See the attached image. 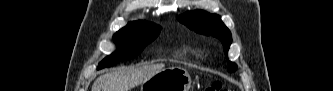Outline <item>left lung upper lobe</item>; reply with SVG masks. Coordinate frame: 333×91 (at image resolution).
Wrapping results in <instances>:
<instances>
[{
    "mask_svg": "<svg viewBox=\"0 0 333 91\" xmlns=\"http://www.w3.org/2000/svg\"><path fill=\"white\" fill-rule=\"evenodd\" d=\"M177 19L197 33L218 38L223 44L224 52L227 54L232 37L229 29L221 21L220 16L198 10L177 16ZM228 64L230 65L228 70L230 72L234 71L236 64L230 61H228Z\"/></svg>",
    "mask_w": 333,
    "mask_h": 91,
    "instance_id": "5c2ea615",
    "label": "left lung upper lobe"
}]
</instances>
